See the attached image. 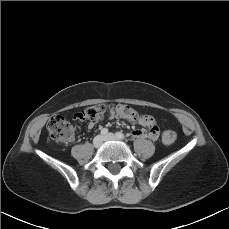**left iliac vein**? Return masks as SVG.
Masks as SVG:
<instances>
[{
	"label": "left iliac vein",
	"instance_id": "4c4485c4",
	"mask_svg": "<svg viewBox=\"0 0 229 229\" xmlns=\"http://www.w3.org/2000/svg\"><path fill=\"white\" fill-rule=\"evenodd\" d=\"M105 141H110V140H119V138L113 134V133H108L105 137H104Z\"/></svg>",
	"mask_w": 229,
	"mask_h": 229
}]
</instances>
